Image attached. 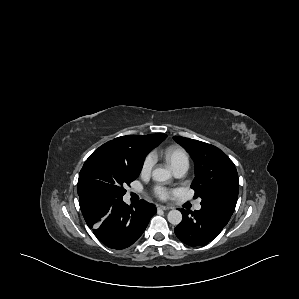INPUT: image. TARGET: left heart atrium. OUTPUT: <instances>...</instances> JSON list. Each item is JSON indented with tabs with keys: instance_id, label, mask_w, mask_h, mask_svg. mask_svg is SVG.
<instances>
[{
	"instance_id": "left-heart-atrium-1",
	"label": "left heart atrium",
	"mask_w": 299,
	"mask_h": 299,
	"mask_svg": "<svg viewBox=\"0 0 299 299\" xmlns=\"http://www.w3.org/2000/svg\"><path fill=\"white\" fill-rule=\"evenodd\" d=\"M155 193L161 199H166L170 195V191L161 186L155 188Z\"/></svg>"
}]
</instances>
